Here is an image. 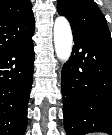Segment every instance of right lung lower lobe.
<instances>
[{"label":"right lung lower lobe","instance_id":"obj_1","mask_svg":"<svg viewBox=\"0 0 112 135\" xmlns=\"http://www.w3.org/2000/svg\"><path fill=\"white\" fill-rule=\"evenodd\" d=\"M33 33L0 53V135H24L34 71Z\"/></svg>","mask_w":112,"mask_h":135}]
</instances>
